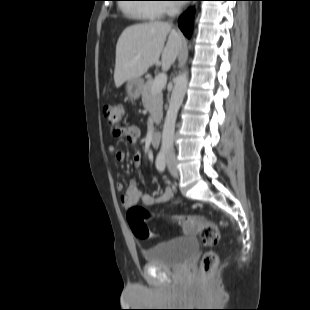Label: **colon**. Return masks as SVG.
I'll use <instances>...</instances> for the list:
<instances>
[{"label": "colon", "instance_id": "colon-1", "mask_svg": "<svg viewBox=\"0 0 310 310\" xmlns=\"http://www.w3.org/2000/svg\"><path fill=\"white\" fill-rule=\"evenodd\" d=\"M104 118L112 128H120L122 118L125 115V107L122 104H110L103 108ZM152 215L140 205H132L127 211V222L132 232L141 239H147L153 236L147 227L146 221ZM168 222L178 223L186 227L191 232L199 231L203 244L207 247H213L218 244L220 232L218 226L204 218L193 216H164L161 217ZM217 254L213 250L204 253L201 262L202 275L208 276L213 273L217 265Z\"/></svg>", "mask_w": 310, "mask_h": 310}]
</instances>
